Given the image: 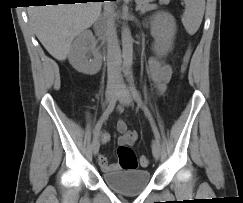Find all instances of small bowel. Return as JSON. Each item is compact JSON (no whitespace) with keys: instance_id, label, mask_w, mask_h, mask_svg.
Segmentation results:
<instances>
[{"instance_id":"small-bowel-1","label":"small bowel","mask_w":243,"mask_h":203,"mask_svg":"<svg viewBox=\"0 0 243 203\" xmlns=\"http://www.w3.org/2000/svg\"><path fill=\"white\" fill-rule=\"evenodd\" d=\"M147 71L152 81L157 86L160 93H163L166 89V84L170 81L173 74V67L157 58H149L147 62ZM124 105L119 107V111L123 112ZM101 130V129H100ZM117 130L120 133L118 138L119 145L132 146L137 138L138 132L135 130H128L127 124L123 120L117 122ZM101 140L103 143H107L110 140V134L102 130ZM98 162L102 170L105 172L116 171L120 168L118 163H109L107 157L104 154L98 156Z\"/></svg>"}]
</instances>
